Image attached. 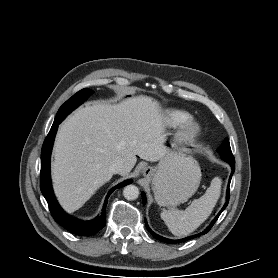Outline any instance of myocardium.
I'll use <instances>...</instances> for the list:
<instances>
[{"label":"myocardium","instance_id":"myocardium-1","mask_svg":"<svg viewBox=\"0 0 278 278\" xmlns=\"http://www.w3.org/2000/svg\"><path fill=\"white\" fill-rule=\"evenodd\" d=\"M199 133V124L196 121L189 119L181 125L177 134V139L183 144H189L198 137Z\"/></svg>","mask_w":278,"mask_h":278}]
</instances>
